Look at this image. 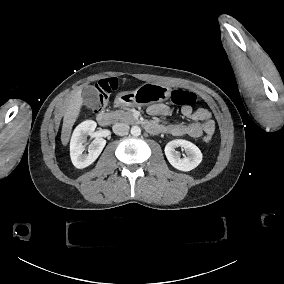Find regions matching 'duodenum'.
<instances>
[{
    "instance_id": "obj_1",
    "label": "duodenum",
    "mask_w": 284,
    "mask_h": 284,
    "mask_svg": "<svg viewBox=\"0 0 284 284\" xmlns=\"http://www.w3.org/2000/svg\"><path fill=\"white\" fill-rule=\"evenodd\" d=\"M116 103L119 104L120 101L116 100ZM95 119L99 125L107 126L111 124L113 117L108 112H99L96 114Z\"/></svg>"
}]
</instances>
